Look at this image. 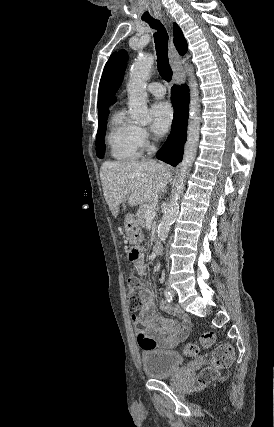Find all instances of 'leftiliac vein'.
<instances>
[{
	"label": "left iliac vein",
	"instance_id": "4c4485c4",
	"mask_svg": "<svg viewBox=\"0 0 274 427\" xmlns=\"http://www.w3.org/2000/svg\"><path fill=\"white\" fill-rule=\"evenodd\" d=\"M169 283V281L167 282V284ZM172 292V296H174L175 295V292L172 290L171 291Z\"/></svg>",
	"mask_w": 274,
	"mask_h": 427
}]
</instances>
